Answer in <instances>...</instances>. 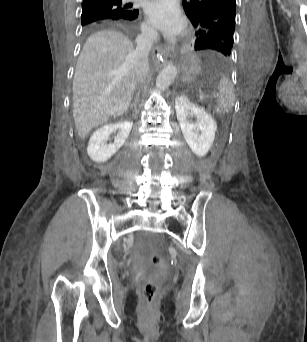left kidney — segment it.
<instances>
[{"instance_id": "1", "label": "left kidney", "mask_w": 307, "mask_h": 342, "mask_svg": "<svg viewBox=\"0 0 307 342\" xmlns=\"http://www.w3.org/2000/svg\"><path fill=\"white\" fill-rule=\"evenodd\" d=\"M175 110L182 134L190 150L199 158H203L214 142L217 130L214 118L203 108L189 102L186 96L176 98ZM189 118H196V120L192 122Z\"/></svg>"}]
</instances>
